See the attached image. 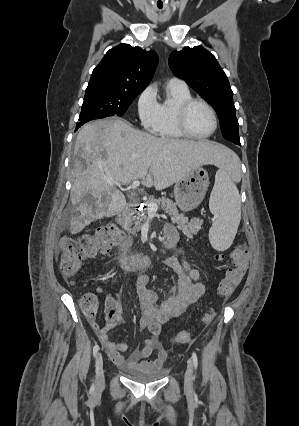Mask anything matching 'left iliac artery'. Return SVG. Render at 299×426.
Listing matches in <instances>:
<instances>
[{"instance_id":"left-iliac-artery-1","label":"left iliac artery","mask_w":299,"mask_h":426,"mask_svg":"<svg viewBox=\"0 0 299 426\" xmlns=\"http://www.w3.org/2000/svg\"><path fill=\"white\" fill-rule=\"evenodd\" d=\"M192 359H193L194 369L196 370L197 367H198V358H197V355H196L195 352H193V354H192ZM194 379H195V377H194Z\"/></svg>"}]
</instances>
